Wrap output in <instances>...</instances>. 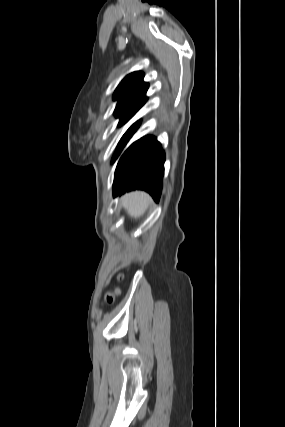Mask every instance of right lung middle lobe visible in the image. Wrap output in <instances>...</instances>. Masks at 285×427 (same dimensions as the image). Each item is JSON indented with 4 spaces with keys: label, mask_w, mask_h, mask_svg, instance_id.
I'll return each instance as SVG.
<instances>
[{
    "label": "right lung middle lobe",
    "mask_w": 285,
    "mask_h": 427,
    "mask_svg": "<svg viewBox=\"0 0 285 427\" xmlns=\"http://www.w3.org/2000/svg\"><path fill=\"white\" fill-rule=\"evenodd\" d=\"M134 114H129V115H116L117 117H120V122L118 124V126L123 125L124 123H126ZM140 125V121L134 123L128 130L127 132L123 135L122 139L119 142V149L117 154L114 156L113 161L116 159L117 155L119 154V152L121 151V149L123 148V146L126 144V142L129 140V138L131 137V135L135 132V130L139 127Z\"/></svg>",
    "instance_id": "right-lung-middle-lobe-1"
}]
</instances>
